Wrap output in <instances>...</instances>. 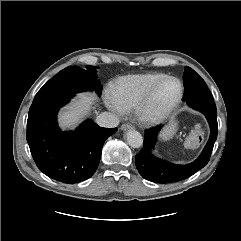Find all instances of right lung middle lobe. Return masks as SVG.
<instances>
[{
  "mask_svg": "<svg viewBox=\"0 0 241 241\" xmlns=\"http://www.w3.org/2000/svg\"><path fill=\"white\" fill-rule=\"evenodd\" d=\"M96 69V66H87L86 70L78 66H69L61 70L38 91L33 103L94 89L100 95L102 86L97 80Z\"/></svg>",
  "mask_w": 241,
  "mask_h": 241,
  "instance_id": "right-lung-middle-lobe-1",
  "label": "right lung middle lobe"
}]
</instances>
